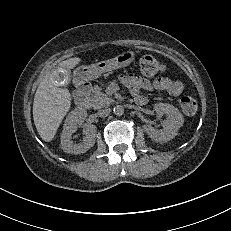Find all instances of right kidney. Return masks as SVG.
I'll return each instance as SVG.
<instances>
[{"label":"right kidney","mask_w":231,"mask_h":231,"mask_svg":"<svg viewBox=\"0 0 231 231\" xmlns=\"http://www.w3.org/2000/svg\"><path fill=\"white\" fill-rule=\"evenodd\" d=\"M87 117L84 110H73L67 116L64 129L61 134V148L66 153L81 154L88 151L95 143L97 128L95 125L90 124L84 127L83 142L74 144L71 141L72 134L77 130L78 125L83 124Z\"/></svg>","instance_id":"obj_1"}]
</instances>
